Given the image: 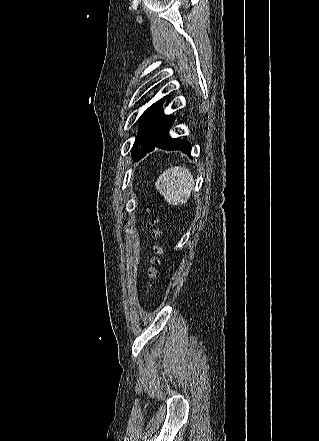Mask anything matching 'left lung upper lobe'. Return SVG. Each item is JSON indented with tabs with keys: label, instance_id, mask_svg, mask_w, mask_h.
<instances>
[{
	"label": "left lung upper lobe",
	"instance_id": "5c2ea615",
	"mask_svg": "<svg viewBox=\"0 0 319 441\" xmlns=\"http://www.w3.org/2000/svg\"><path fill=\"white\" fill-rule=\"evenodd\" d=\"M161 107L162 101H159L150 106L140 117V132L131 150L133 160H140L154 135L172 117V115H165Z\"/></svg>",
	"mask_w": 319,
	"mask_h": 441
}]
</instances>
